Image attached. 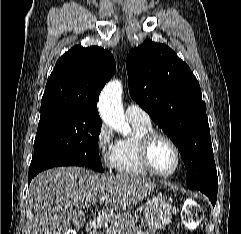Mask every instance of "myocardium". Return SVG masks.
Returning a JSON list of instances; mask_svg holds the SVG:
<instances>
[{"instance_id": "f54148a6", "label": "myocardium", "mask_w": 241, "mask_h": 234, "mask_svg": "<svg viewBox=\"0 0 241 234\" xmlns=\"http://www.w3.org/2000/svg\"><path fill=\"white\" fill-rule=\"evenodd\" d=\"M159 139L167 141L172 146V148L174 149L175 154H176L175 167L173 168V170H171L170 172H167V173L158 171L154 167L152 160H151L152 146ZM139 156H140V160H141V163L144 166V168L150 174L157 176V177H161V178H168V177H171L172 175H174L180 168L181 162H182L181 150H180L178 144L175 142V140L173 138H171L169 135H167L165 133L157 132V131H151V132L145 134L140 139Z\"/></svg>"}]
</instances>
